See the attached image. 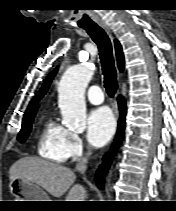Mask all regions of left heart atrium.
Listing matches in <instances>:
<instances>
[{
	"label": "left heart atrium",
	"instance_id": "39dd6f15",
	"mask_svg": "<svg viewBox=\"0 0 176 211\" xmlns=\"http://www.w3.org/2000/svg\"><path fill=\"white\" fill-rule=\"evenodd\" d=\"M115 131V120L109 109H94L87 117V139L96 147L103 146Z\"/></svg>",
	"mask_w": 176,
	"mask_h": 211
}]
</instances>
